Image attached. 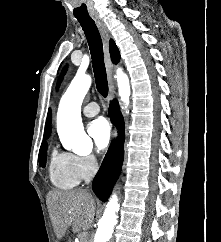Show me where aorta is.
Segmentation results:
<instances>
[{"mask_svg":"<svg viewBox=\"0 0 221 242\" xmlns=\"http://www.w3.org/2000/svg\"><path fill=\"white\" fill-rule=\"evenodd\" d=\"M116 78L121 101L128 105L131 94L129 78L122 69L117 70ZM91 83L92 79L89 75L77 74L62 96L58 108V133L65 145L76 153L88 152L92 148L91 139L85 133L81 119L82 102ZM118 209V198L113 194L98 223L94 242H108L110 240L114 226L117 224L116 213Z\"/></svg>","mask_w":221,"mask_h":242,"instance_id":"1","label":"aorta"}]
</instances>
